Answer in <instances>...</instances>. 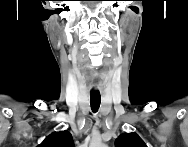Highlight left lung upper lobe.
<instances>
[{
    "label": "left lung upper lobe",
    "mask_w": 188,
    "mask_h": 147,
    "mask_svg": "<svg viewBox=\"0 0 188 147\" xmlns=\"http://www.w3.org/2000/svg\"><path fill=\"white\" fill-rule=\"evenodd\" d=\"M116 147H146L136 133H124L115 141Z\"/></svg>",
    "instance_id": "1"
}]
</instances>
